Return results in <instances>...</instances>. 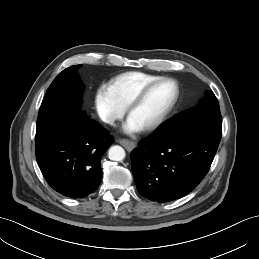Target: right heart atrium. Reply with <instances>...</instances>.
Segmentation results:
<instances>
[{"label": "right heart atrium", "mask_w": 259, "mask_h": 259, "mask_svg": "<svg viewBox=\"0 0 259 259\" xmlns=\"http://www.w3.org/2000/svg\"><path fill=\"white\" fill-rule=\"evenodd\" d=\"M94 105L100 119L109 125H114L125 114V109L114 101L106 87L96 90Z\"/></svg>", "instance_id": "obj_1"}]
</instances>
